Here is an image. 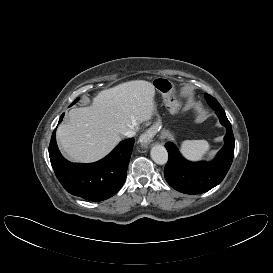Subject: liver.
<instances>
[{
  "instance_id": "liver-1",
  "label": "liver",
  "mask_w": 273,
  "mask_h": 273,
  "mask_svg": "<svg viewBox=\"0 0 273 273\" xmlns=\"http://www.w3.org/2000/svg\"><path fill=\"white\" fill-rule=\"evenodd\" d=\"M155 87L144 80L129 81L103 90L89 107L71 109L59 125L57 140L74 162L90 163L105 157L127 129L155 114Z\"/></svg>"
}]
</instances>
